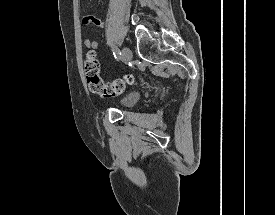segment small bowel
I'll return each mask as SVG.
<instances>
[{"label": "small bowel", "instance_id": "c3829d8e", "mask_svg": "<svg viewBox=\"0 0 275 215\" xmlns=\"http://www.w3.org/2000/svg\"><path fill=\"white\" fill-rule=\"evenodd\" d=\"M83 23H84V25H94V26H97V27H104V25H105V23L102 20L96 18L95 16L85 17L84 20H83ZM84 46L87 49L95 50L98 47V42L86 37L84 39Z\"/></svg>", "mask_w": 275, "mask_h": 215}]
</instances>
